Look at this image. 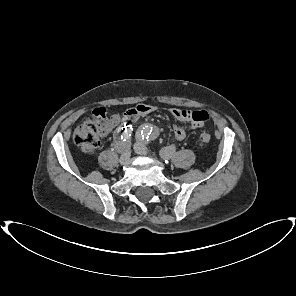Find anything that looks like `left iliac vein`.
I'll return each mask as SVG.
<instances>
[{"mask_svg":"<svg viewBox=\"0 0 296 296\" xmlns=\"http://www.w3.org/2000/svg\"><path fill=\"white\" fill-rule=\"evenodd\" d=\"M134 150L137 154H140V155H147L148 154V151L142 142L135 143Z\"/></svg>","mask_w":296,"mask_h":296,"instance_id":"4c4485c4","label":"left iliac vein"}]
</instances>
